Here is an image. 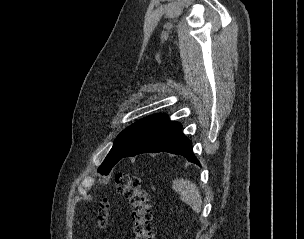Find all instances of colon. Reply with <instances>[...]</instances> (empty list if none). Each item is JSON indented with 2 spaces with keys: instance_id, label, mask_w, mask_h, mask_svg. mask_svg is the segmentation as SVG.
<instances>
[{
  "instance_id": "colon-1",
  "label": "colon",
  "mask_w": 304,
  "mask_h": 239,
  "mask_svg": "<svg viewBox=\"0 0 304 239\" xmlns=\"http://www.w3.org/2000/svg\"><path fill=\"white\" fill-rule=\"evenodd\" d=\"M114 190L125 196L130 203L134 239H153L150 195L142 187L140 179L126 173L117 174L114 180ZM108 213V200L103 199L97 212L99 227L106 226Z\"/></svg>"
}]
</instances>
